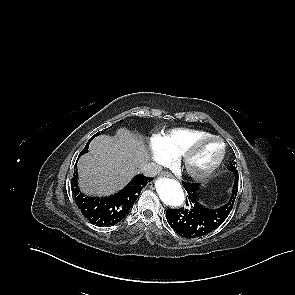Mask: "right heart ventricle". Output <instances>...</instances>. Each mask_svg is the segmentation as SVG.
Listing matches in <instances>:
<instances>
[{
    "instance_id": "right-heart-ventricle-1",
    "label": "right heart ventricle",
    "mask_w": 295,
    "mask_h": 295,
    "mask_svg": "<svg viewBox=\"0 0 295 295\" xmlns=\"http://www.w3.org/2000/svg\"><path fill=\"white\" fill-rule=\"evenodd\" d=\"M209 135L208 132L202 130L176 128L157 137L162 148L172 158H177L193 141Z\"/></svg>"
}]
</instances>
